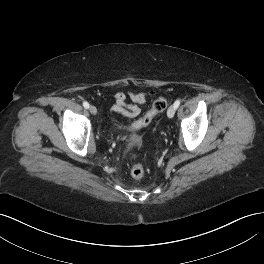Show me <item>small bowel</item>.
I'll list each match as a JSON object with an SVG mask.
<instances>
[{
  "instance_id": "small-bowel-1",
  "label": "small bowel",
  "mask_w": 264,
  "mask_h": 264,
  "mask_svg": "<svg viewBox=\"0 0 264 264\" xmlns=\"http://www.w3.org/2000/svg\"><path fill=\"white\" fill-rule=\"evenodd\" d=\"M155 95V92H117L115 94V104L112 106L111 110L115 113H120L126 117H137L141 110L137 104H144L146 100ZM127 97L133 102L127 103Z\"/></svg>"
}]
</instances>
